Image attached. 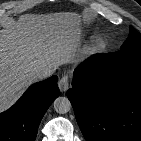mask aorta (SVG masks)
Here are the masks:
<instances>
[{"label":"aorta","instance_id":"obj_1","mask_svg":"<svg viewBox=\"0 0 141 141\" xmlns=\"http://www.w3.org/2000/svg\"><path fill=\"white\" fill-rule=\"evenodd\" d=\"M54 109L59 114L68 113L72 107L67 97H58L53 102Z\"/></svg>","mask_w":141,"mask_h":141}]
</instances>
